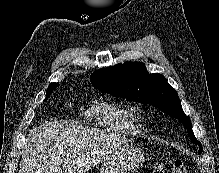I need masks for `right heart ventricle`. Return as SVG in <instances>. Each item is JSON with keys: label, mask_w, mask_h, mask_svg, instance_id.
I'll return each mask as SVG.
<instances>
[{"label": "right heart ventricle", "mask_w": 219, "mask_h": 173, "mask_svg": "<svg viewBox=\"0 0 219 173\" xmlns=\"http://www.w3.org/2000/svg\"><path fill=\"white\" fill-rule=\"evenodd\" d=\"M84 116L95 125L118 134L135 135L140 131L131 110L115 100L97 99L84 111Z\"/></svg>", "instance_id": "1"}]
</instances>
